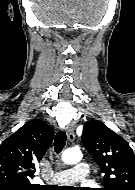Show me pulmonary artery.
<instances>
[{
    "label": "pulmonary artery",
    "instance_id": "pulmonary-artery-1",
    "mask_svg": "<svg viewBox=\"0 0 135 190\" xmlns=\"http://www.w3.org/2000/svg\"><path fill=\"white\" fill-rule=\"evenodd\" d=\"M89 165L85 162L77 163L74 167L53 174L52 181L56 184H71L87 178Z\"/></svg>",
    "mask_w": 135,
    "mask_h": 190
}]
</instances>
